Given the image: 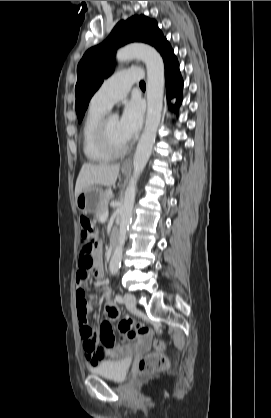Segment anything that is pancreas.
Instances as JSON below:
<instances>
[{"instance_id":"obj_1","label":"pancreas","mask_w":271,"mask_h":418,"mask_svg":"<svg viewBox=\"0 0 271 418\" xmlns=\"http://www.w3.org/2000/svg\"><path fill=\"white\" fill-rule=\"evenodd\" d=\"M113 194L110 189L106 190L103 194V197L100 201L99 207L96 211V218L100 221L101 217L107 212L108 203L112 199Z\"/></svg>"}]
</instances>
